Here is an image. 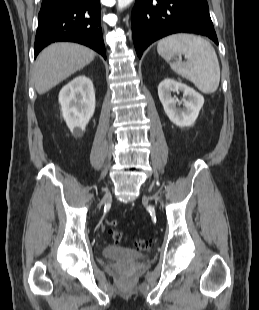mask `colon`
I'll list each match as a JSON object with an SVG mask.
<instances>
[{"instance_id": "colon-1", "label": "colon", "mask_w": 259, "mask_h": 310, "mask_svg": "<svg viewBox=\"0 0 259 310\" xmlns=\"http://www.w3.org/2000/svg\"><path fill=\"white\" fill-rule=\"evenodd\" d=\"M109 228H111V237L115 242H120L123 240V233L119 230H116L117 221L109 220L107 222ZM152 246V242L149 240L140 239L137 240L134 244V249L137 251H146L149 250Z\"/></svg>"}]
</instances>
